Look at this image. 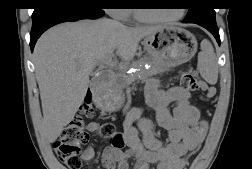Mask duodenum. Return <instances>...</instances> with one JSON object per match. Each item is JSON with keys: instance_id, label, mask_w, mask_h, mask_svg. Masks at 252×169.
<instances>
[{"instance_id": "1", "label": "duodenum", "mask_w": 252, "mask_h": 169, "mask_svg": "<svg viewBox=\"0 0 252 169\" xmlns=\"http://www.w3.org/2000/svg\"><path fill=\"white\" fill-rule=\"evenodd\" d=\"M101 78H110V75L104 74V75H101Z\"/></svg>"}]
</instances>
